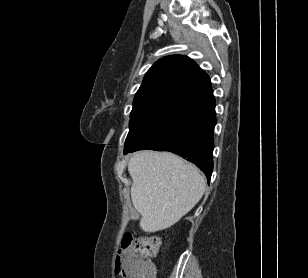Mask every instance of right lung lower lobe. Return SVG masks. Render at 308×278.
Instances as JSON below:
<instances>
[{"instance_id": "1", "label": "right lung lower lobe", "mask_w": 308, "mask_h": 278, "mask_svg": "<svg viewBox=\"0 0 308 278\" xmlns=\"http://www.w3.org/2000/svg\"><path fill=\"white\" fill-rule=\"evenodd\" d=\"M216 124L215 98L212 95L176 115L157 133L129 150L170 151L198 165L210 181Z\"/></svg>"}]
</instances>
